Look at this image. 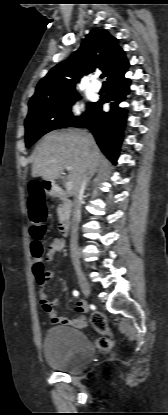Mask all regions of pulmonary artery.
<instances>
[{"instance_id": "e3ab8cb5", "label": "pulmonary artery", "mask_w": 168, "mask_h": 415, "mask_svg": "<svg viewBox=\"0 0 168 415\" xmlns=\"http://www.w3.org/2000/svg\"><path fill=\"white\" fill-rule=\"evenodd\" d=\"M91 89L94 92H99L101 90V84L98 80L94 79L91 83Z\"/></svg>"}]
</instances>
